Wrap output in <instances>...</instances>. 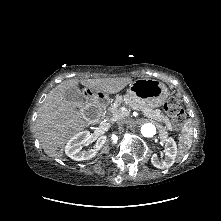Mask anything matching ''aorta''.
Returning a JSON list of instances; mask_svg holds the SVG:
<instances>
[{
	"label": "aorta",
	"instance_id": "obj_1",
	"mask_svg": "<svg viewBox=\"0 0 221 221\" xmlns=\"http://www.w3.org/2000/svg\"><path fill=\"white\" fill-rule=\"evenodd\" d=\"M141 134L144 137H153L156 134V127L152 123H145L141 127Z\"/></svg>",
	"mask_w": 221,
	"mask_h": 221
}]
</instances>
